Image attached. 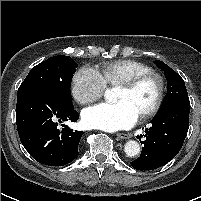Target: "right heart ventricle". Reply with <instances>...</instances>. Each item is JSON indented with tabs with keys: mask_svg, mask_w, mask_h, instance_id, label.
Segmentation results:
<instances>
[{
	"mask_svg": "<svg viewBox=\"0 0 201 201\" xmlns=\"http://www.w3.org/2000/svg\"><path fill=\"white\" fill-rule=\"evenodd\" d=\"M149 71L152 69L148 65L132 59L106 62L100 69L104 81L109 85H118L132 76Z\"/></svg>",
	"mask_w": 201,
	"mask_h": 201,
	"instance_id": "obj_1",
	"label": "right heart ventricle"
}]
</instances>
